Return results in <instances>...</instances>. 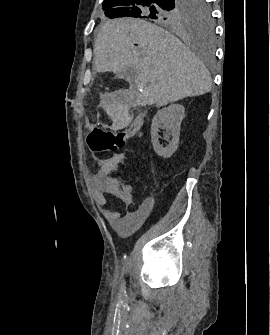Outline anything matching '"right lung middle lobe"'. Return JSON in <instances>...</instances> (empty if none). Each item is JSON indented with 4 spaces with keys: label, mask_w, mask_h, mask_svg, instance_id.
<instances>
[{
    "label": "right lung middle lobe",
    "mask_w": 270,
    "mask_h": 335,
    "mask_svg": "<svg viewBox=\"0 0 270 335\" xmlns=\"http://www.w3.org/2000/svg\"><path fill=\"white\" fill-rule=\"evenodd\" d=\"M103 13L109 18L146 19L205 43L213 38L211 8L206 0H104Z\"/></svg>",
    "instance_id": "dd1d6c3e"
}]
</instances>
